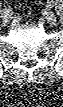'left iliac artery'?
<instances>
[{
  "mask_svg": "<svg viewBox=\"0 0 63 107\" xmlns=\"http://www.w3.org/2000/svg\"><path fill=\"white\" fill-rule=\"evenodd\" d=\"M53 4H54V2H53L52 0H48V1H47V5H48L49 7H52Z\"/></svg>",
  "mask_w": 63,
  "mask_h": 107,
  "instance_id": "obj_1",
  "label": "left iliac artery"
}]
</instances>
